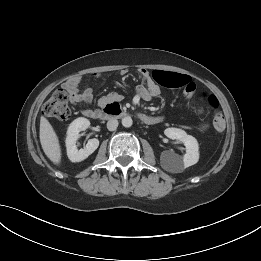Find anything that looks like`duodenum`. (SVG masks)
<instances>
[{"label":"duodenum","instance_id":"obj_1","mask_svg":"<svg viewBox=\"0 0 261 261\" xmlns=\"http://www.w3.org/2000/svg\"><path fill=\"white\" fill-rule=\"evenodd\" d=\"M127 113L123 108L120 106L118 102H109L107 103L103 109L101 110H93L88 112V117L91 118H111V117H123L126 116ZM140 119L145 123H150L151 119L150 117L146 115H141Z\"/></svg>","mask_w":261,"mask_h":261}]
</instances>
